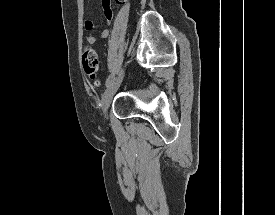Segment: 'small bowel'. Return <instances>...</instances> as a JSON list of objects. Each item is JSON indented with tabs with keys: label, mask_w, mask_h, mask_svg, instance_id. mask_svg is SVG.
Listing matches in <instances>:
<instances>
[{
	"label": "small bowel",
	"mask_w": 275,
	"mask_h": 215,
	"mask_svg": "<svg viewBox=\"0 0 275 215\" xmlns=\"http://www.w3.org/2000/svg\"><path fill=\"white\" fill-rule=\"evenodd\" d=\"M102 6L104 11V16L109 23L113 18V13L110 9V0H102ZM86 34L84 36L85 41L89 44H94L98 41L105 40L109 35V29L104 28L100 31L98 35L95 34V25L92 21L85 22Z\"/></svg>",
	"instance_id": "1"
}]
</instances>
